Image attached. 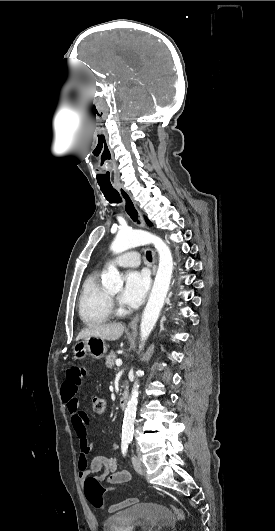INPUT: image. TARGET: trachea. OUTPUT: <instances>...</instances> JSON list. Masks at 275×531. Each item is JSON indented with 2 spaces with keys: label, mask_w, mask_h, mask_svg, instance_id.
Instances as JSON below:
<instances>
[{
  "label": "trachea",
  "mask_w": 275,
  "mask_h": 531,
  "mask_svg": "<svg viewBox=\"0 0 275 531\" xmlns=\"http://www.w3.org/2000/svg\"><path fill=\"white\" fill-rule=\"evenodd\" d=\"M101 191L102 193L104 194L105 198L110 202V203H119V202H122L121 200V196L119 194V192L114 189L112 186H108V187H101ZM146 258L148 260H152V254L150 251H147L146 252Z\"/></svg>",
  "instance_id": "1"
}]
</instances>
